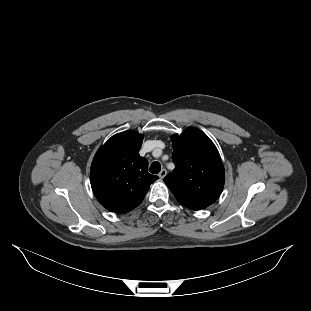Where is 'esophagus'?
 I'll list each match as a JSON object with an SVG mask.
<instances>
[{
    "label": "esophagus",
    "mask_w": 311,
    "mask_h": 311,
    "mask_svg": "<svg viewBox=\"0 0 311 311\" xmlns=\"http://www.w3.org/2000/svg\"><path fill=\"white\" fill-rule=\"evenodd\" d=\"M166 175H167V171H166L165 169H162V170L159 172V177H160V179H163Z\"/></svg>",
    "instance_id": "34e87169"
}]
</instances>
